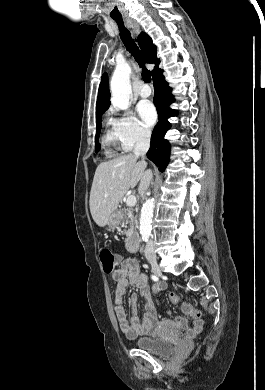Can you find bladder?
I'll use <instances>...</instances> for the list:
<instances>
[{
    "label": "bladder",
    "mask_w": 265,
    "mask_h": 390,
    "mask_svg": "<svg viewBox=\"0 0 265 390\" xmlns=\"http://www.w3.org/2000/svg\"><path fill=\"white\" fill-rule=\"evenodd\" d=\"M134 344L138 349L155 354L171 353L174 348L171 342L153 335L140 336L135 339Z\"/></svg>",
    "instance_id": "31cf9c89"
}]
</instances>
